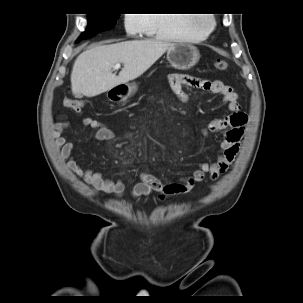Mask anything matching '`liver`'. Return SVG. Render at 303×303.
Returning <instances> with one entry per match:
<instances>
[{
  "mask_svg": "<svg viewBox=\"0 0 303 303\" xmlns=\"http://www.w3.org/2000/svg\"><path fill=\"white\" fill-rule=\"evenodd\" d=\"M172 45L165 40L145 39L94 46L81 53L74 62L71 73L72 93L75 97H94L134 80ZM117 63L124 64L119 75L112 72Z\"/></svg>",
  "mask_w": 303,
  "mask_h": 303,
  "instance_id": "liver-1",
  "label": "liver"
}]
</instances>
